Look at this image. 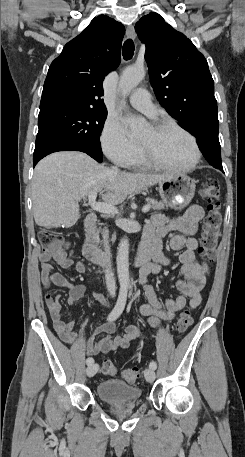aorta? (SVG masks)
<instances>
[{
    "label": "aorta",
    "instance_id": "aorta-1",
    "mask_svg": "<svg viewBox=\"0 0 245 457\" xmlns=\"http://www.w3.org/2000/svg\"><path fill=\"white\" fill-rule=\"evenodd\" d=\"M145 76V70L143 66H130L127 67L119 82V90L123 97L130 94V92L137 87V85L143 80ZM125 124L130 129L131 133L142 132L147 123L145 119L141 117H135L127 115L124 119ZM117 273L118 279L121 286H128L130 283L129 277V241L127 238H123L118 246L117 252Z\"/></svg>",
    "mask_w": 245,
    "mask_h": 457
}]
</instances>
